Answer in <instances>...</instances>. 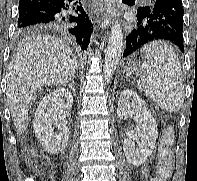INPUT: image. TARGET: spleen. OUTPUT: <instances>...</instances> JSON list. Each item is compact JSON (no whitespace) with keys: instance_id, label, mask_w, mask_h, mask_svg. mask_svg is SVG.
I'll return each instance as SVG.
<instances>
[{"instance_id":"1","label":"spleen","mask_w":197,"mask_h":181,"mask_svg":"<svg viewBox=\"0 0 197 181\" xmlns=\"http://www.w3.org/2000/svg\"><path fill=\"white\" fill-rule=\"evenodd\" d=\"M141 52L145 53L142 71L146 78L138 81L139 89L162 109L179 111L184 102V86L181 63L174 49L165 41H153Z\"/></svg>"}]
</instances>
